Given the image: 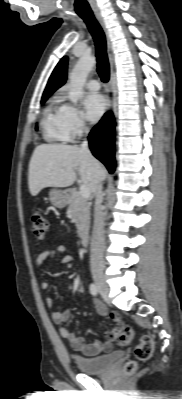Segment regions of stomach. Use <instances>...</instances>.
Returning a JSON list of instances; mask_svg holds the SVG:
<instances>
[{
    "mask_svg": "<svg viewBox=\"0 0 182 399\" xmlns=\"http://www.w3.org/2000/svg\"><path fill=\"white\" fill-rule=\"evenodd\" d=\"M49 197L52 205L60 209L67 206L70 201L67 192L59 189H52L49 193Z\"/></svg>",
    "mask_w": 182,
    "mask_h": 399,
    "instance_id": "0dacf381",
    "label": "stomach"
}]
</instances>
